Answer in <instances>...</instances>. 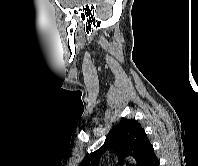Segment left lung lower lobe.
<instances>
[{
	"mask_svg": "<svg viewBox=\"0 0 198 166\" xmlns=\"http://www.w3.org/2000/svg\"><path fill=\"white\" fill-rule=\"evenodd\" d=\"M147 166H159V160L156 155H153L150 161L148 162Z\"/></svg>",
	"mask_w": 198,
	"mask_h": 166,
	"instance_id": "obj_1",
	"label": "left lung lower lobe"
}]
</instances>
